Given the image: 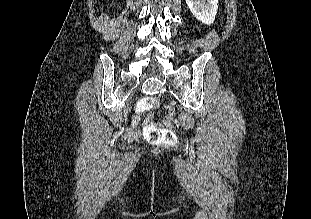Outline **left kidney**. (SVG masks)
Segmentation results:
<instances>
[{
	"mask_svg": "<svg viewBox=\"0 0 311 219\" xmlns=\"http://www.w3.org/2000/svg\"><path fill=\"white\" fill-rule=\"evenodd\" d=\"M186 3L197 20L207 25L214 22L218 0H186Z\"/></svg>",
	"mask_w": 311,
	"mask_h": 219,
	"instance_id": "obj_1",
	"label": "left kidney"
}]
</instances>
